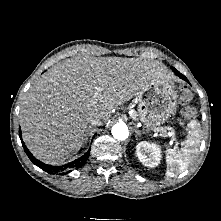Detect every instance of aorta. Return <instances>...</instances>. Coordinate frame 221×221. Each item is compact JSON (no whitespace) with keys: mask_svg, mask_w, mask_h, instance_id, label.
I'll return each instance as SVG.
<instances>
[{"mask_svg":"<svg viewBox=\"0 0 221 221\" xmlns=\"http://www.w3.org/2000/svg\"><path fill=\"white\" fill-rule=\"evenodd\" d=\"M111 132L113 137L120 141L126 140L129 136V130L125 123H116L113 125Z\"/></svg>","mask_w":221,"mask_h":221,"instance_id":"762f6f07","label":"aorta"}]
</instances>
